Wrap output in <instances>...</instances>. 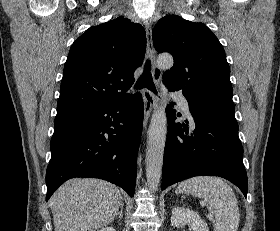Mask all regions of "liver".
<instances>
[{
	"label": "liver",
	"mask_w": 280,
	"mask_h": 231,
	"mask_svg": "<svg viewBox=\"0 0 280 231\" xmlns=\"http://www.w3.org/2000/svg\"><path fill=\"white\" fill-rule=\"evenodd\" d=\"M121 203L118 187L109 181L68 179L50 197L55 231H94L113 221Z\"/></svg>",
	"instance_id": "1"
}]
</instances>
